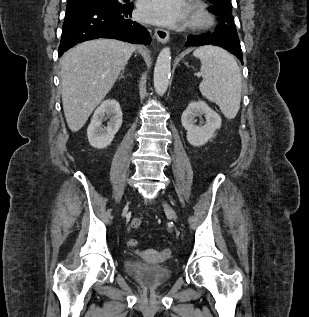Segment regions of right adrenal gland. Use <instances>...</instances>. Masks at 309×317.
I'll return each mask as SVG.
<instances>
[{
    "instance_id": "right-adrenal-gland-1",
    "label": "right adrenal gland",
    "mask_w": 309,
    "mask_h": 317,
    "mask_svg": "<svg viewBox=\"0 0 309 317\" xmlns=\"http://www.w3.org/2000/svg\"><path fill=\"white\" fill-rule=\"evenodd\" d=\"M124 69L122 70V72L120 73L119 79L124 78Z\"/></svg>"
}]
</instances>
